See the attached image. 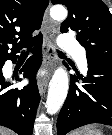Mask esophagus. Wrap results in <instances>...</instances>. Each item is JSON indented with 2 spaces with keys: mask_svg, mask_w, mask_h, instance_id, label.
<instances>
[{
  "mask_svg": "<svg viewBox=\"0 0 112 135\" xmlns=\"http://www.w3.org/2000/svg\"><path fill=\"white\" fill-rule=\"evenodd\" d=\"M50 2L44 13L43 22H42V31L44 34V43H43V53H44V66H52L54 60L53 53V38L58 30V25L55 23L49 16ZM50 75L41 77L38 81V88L41 95L44 94Z\"/></svg>",
  "mask_w": 112,
  "mask_h": 135,
  "instance_id": "1",
  "label": "esophagus"
}]
</instances>
